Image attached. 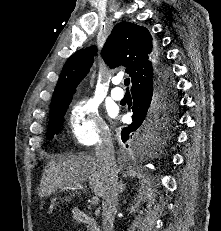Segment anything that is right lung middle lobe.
<instances>
[{"instance_id":"dd1d6c3e","label":"right lung middle lobe","mask_w":221,"mask_h":231,"mask_svg":"<svg viewBox=\"0 0 221 231\" xmlns=\"http://www.w3.org/2000/svg\"><path fill=\"white\" fill-rule=\"evenodd\" d=\"M71 99L63 102L58 108L50 112L49 130L47 132L48 138L52 139L54 134H57L63 124V117L70 104ZM176 99H165L163 102L155 104L141 128L143 137L150 145L157 143L159 137L158 133L161 129L168 126L173 121V114L176 110Z\"/></svg>"}]
</instances>
